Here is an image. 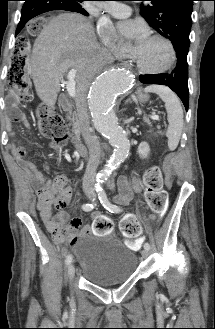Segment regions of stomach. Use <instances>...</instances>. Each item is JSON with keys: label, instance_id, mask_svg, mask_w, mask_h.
<instances>
[{"label": "stomach", "instance_id": "obj_1", "mask_svg": "<svg viewBox=\"0 0 215 329\" xmlns=\"http://www.w3.org/2000/svg\"><path fill=\"white\" fill-rule=\"evenodd\" d=\"M137 97H138L140 102H145V101L148 100V95L142 93L141 91H138Z\"/></svg>", "mask_w": 215, "mask_h": 329}]
</instances>
